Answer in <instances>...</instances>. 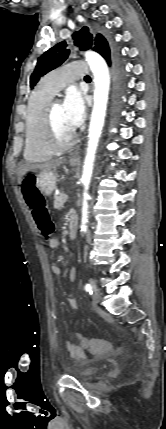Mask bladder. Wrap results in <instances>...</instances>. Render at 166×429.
Segmentation results:
<instances>
[{
  "instance_id": "obj_1",
  "label": "bladder",
  "mask_w": 166,
  "mask_h": 429,
  "mask_svg": "<svg viewBox=\"0 0 166 429\" xmlns=\"http://www.w3.org/2000/svg\"><path fill=\"white\" fill-rule=\"evenodd\" d=\"M103 369L102 365L93 366L89 365L79 370L73 371L72 375L80 380H86L97 376Z\"/></svg>"
}]
</instances>
